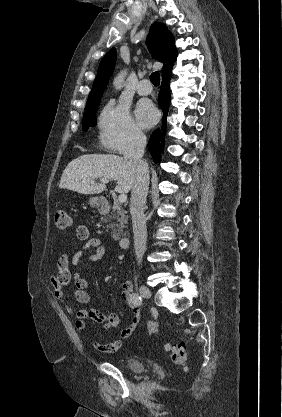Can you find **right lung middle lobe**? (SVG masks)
<instances>
[{"instance_id": "right-lung-middle-lobe-1", "label": "right lung middle lobe", "mask_w": 282, "mask_h": 417, "mask_svg": "<svg viewBox=\"0 0 282 417\" xmlns=\"http://www.w3.org/2000/svg\"><path fill=\"white\" fill-rule=\"evenodd\" d=\"M101 95L90 96L88 98L85 113L83 118L82 127L84 130H87L89 126H95L96 124V116L95 113L98 109V105L100 103Z\"/></svg>"}]
</instances>
